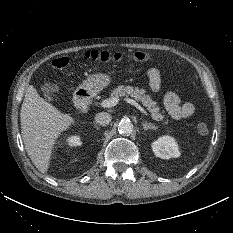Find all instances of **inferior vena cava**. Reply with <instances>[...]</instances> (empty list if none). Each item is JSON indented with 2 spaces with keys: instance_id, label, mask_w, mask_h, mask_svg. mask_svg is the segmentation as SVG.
Listing matches in <instances>:
<instances>
[{
  "instance_id": "602c4592",
  "label": "inferior vena cava",
  "mask_w": 233,
  "mask_h": 233,
  "mask_svg": "<svg viewBox=\"0 0 233 233\" xmlns=\"http://www.w3.org/2000/svg\"><path fill=\"white\" fill-rule=\"evenodd\" d=\"M111 119H112V116L107 112H100V113H97L95 116L96 123L102 126L108 125Z\"/></svg>"
}]
</instances>
